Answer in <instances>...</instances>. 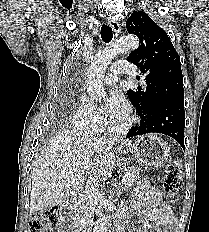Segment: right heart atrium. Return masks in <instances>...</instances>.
<instances>
[{"label":"right heart atrium","instance_id":"1","mask_svg":"<svg viewBox=\"0 0 209 232\" xmlns=\"http://www.w3.org/2000/svg\"><path fill=\"white\" fill-rule=\"evenodd\" d=\"M71 122L74 127L85 132H95L105 125L104 117L86 95L79 98L71 116Z\"/></svg>","mask_w":209,"mask_h":232}]
</instances>
